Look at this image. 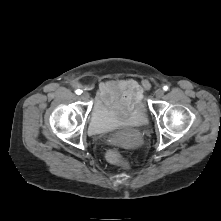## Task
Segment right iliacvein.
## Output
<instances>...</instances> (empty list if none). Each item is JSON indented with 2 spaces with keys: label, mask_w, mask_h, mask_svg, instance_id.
Masks as SVG:
<instances>
[{
  "label": "right iliac vein",
  "mask_w": 221,
  "mask_h": 221,
  "mask_svg": "<svg viewBox=\"0 0 221 221\" xmlns=\"http://www.w3.org/2000/svg\"><path fill=\"white\" fill-rule=\"evenodd\" d=\"M80 97L82 100L87 101L89 99V94L87 92H83Z\"/></svg>",
  "instance_id": "obj_1"
}]
</instances>
